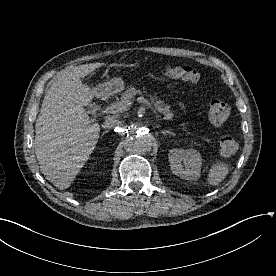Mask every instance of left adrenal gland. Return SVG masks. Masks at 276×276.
Instances as JSON below:
<instances>
[{
    "instance_id": "left-adrenal-gland-1",
    "label": "left adrenal gland",
    "mask_w": 276,
    "mask_h": 276,
    "mask_svg": "<svg viewBox=\"0 0 276 276\" xmlns=\"http://www.w3.org/2000/svg\"><path fill=\"white\" fill-rule=\"evenodd\" d=\"M161 133H162L163 135L170 134V135L175 136V134H174L173 132L169 131V130H162Z\"/></svg>"
}]
</instances>
